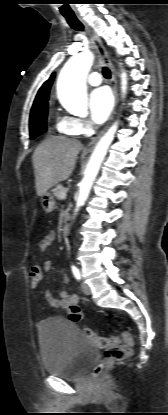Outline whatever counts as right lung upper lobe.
I'll use <instances>...</instances> for the list:
<instances>
[{"instance_id": "obj_1", "label": "right lung upper lobe", "mask_w": 168, "mask_h": 415, "mask_svg": "<svg viewBox=\"0 0 168 415\" xmlns=\"http://www.w3.org/2000/svg\"><path fill=\"white\" fill-rule=\"evenodd\" d=\"M55 73H53L50 78L42 85V87L39 89L37 96L35 98V101L33 103L31 111H34L38 108H42L44 106H48V97H49V91L52 85V82L54 80Z\"/></svg>"}]
</instances>
